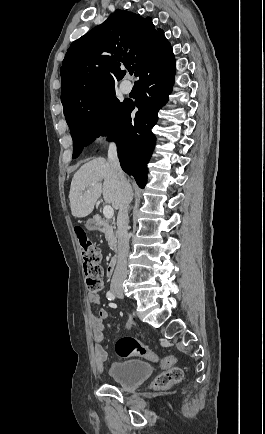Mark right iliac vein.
Listing matches in <instances>:
<instances>
[{
  "label": "right iliac vein",
  "instance_id": "1",
  "mask_svg": "<svg viewBox=\"0 0 265 434\" xmlns=\"http://www.w3.org/2000/svg\"><path fill=\"white\" fill-rule=\"evenodd\" d=\"M113 290L115 292H122L123 291L122 288H120V287L113 288Z\"/></svg>",
  "mask_w": 265,
  "mask_h": 434
}]
</instances>
